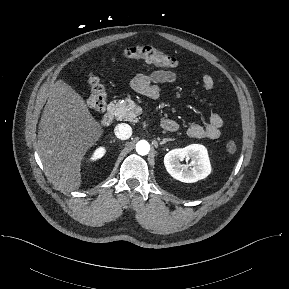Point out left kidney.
Returning <instances> with one entry per match:
<instances>
[{"instance_id": "5707ae66", "label": "left kidney", "mask_w": 289, "mask_h": 289, "mask_svg": "<svg viewBox=\"0 0 289 289\" xmlns=\"http://www.w3.org/2000/svg\"><path fill=\"white\" fill-rule=\"evenodd\" d=\"M191 159L189 169L180 162ZM167 172L175 179L193 183L206 178L211 172L210 161L206 148L203 145L192 144L185 148L173 149L164 157Z\"/></svg>"}]
</instances>
